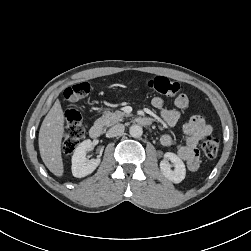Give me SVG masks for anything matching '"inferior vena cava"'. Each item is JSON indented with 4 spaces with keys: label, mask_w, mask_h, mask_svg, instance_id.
<instances>
[{
    "label": "inferior vena cava",
    "mask_w": 251,
    "mask_h": 251,
    "mask_svg": "<svg viewBox=\"0 0 251 251\" xmlns=\"http://www.w3.org/2000/svg\"><path fill=\"white\" fill-rule=\"evenodd\" d=\"M124 130H125V127L123 124H117L108 130L107 136L116 137V136L122 135Z\"/></svg>",
    "instance_id": "602c4592"
}]
</instances>
